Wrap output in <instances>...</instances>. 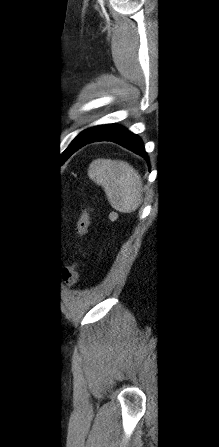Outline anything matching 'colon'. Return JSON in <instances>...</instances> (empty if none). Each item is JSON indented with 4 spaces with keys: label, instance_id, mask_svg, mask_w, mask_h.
<instances>
[{
    "label": "colon",
    "instance_id": "obj_1",
    "mask_svg": "<svg viewBox=\"0 0 219 447\" xmlns=\"http://www.w3.org/2000/svg\"><path fill=\"white\" fill-rule=\"evenodd\" d=\"M92 208L91 206L84 204L81 207L80 215L76 222V233L78 236L83 237L87 234L90 220H91ZM80 266V261L74 260L71 264L63 268L62 270V280L68 286H74L78 278V269Z\"/></svg>",
    "mask_w": 219,
    "mask_h": 447
}]
</instances>
